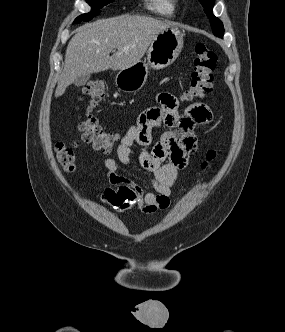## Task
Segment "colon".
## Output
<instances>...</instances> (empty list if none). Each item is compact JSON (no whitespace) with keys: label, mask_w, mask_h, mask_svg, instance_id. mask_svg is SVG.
I'll return each instance as SVG.
<instances>
[{"label":"colon","mask_w":285,"mask_h":332,"mask_svg":"<svg viewBox=\"0 0 285 332\" xmlns=\"http://www.w3.org/2000/svg\"><path fill=\"white\" fill-rule=\"evenodd\" d=\"M217 63V54L204 43H197L194 46L193 70L191 73L190 87L184 92L182 99L193 100L203 98L212 91L213 71ZM106 89V82L97 79L89 82L83 88V99L86 101V109L81 116L79 129L82 132V139L89 143L94 149L102 152H110L117 143L118 136L106 132L92 113V109L101 101ZM58 162L67 172L75 170L74 147L58 142L55 147ZM216 151H209L205 167L209 161L214 159Z\"/></svg>","instance_id":"colon-1"}]
</instances>
